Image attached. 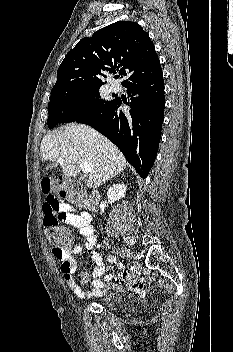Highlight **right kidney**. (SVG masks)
I'll return each mask as SVG.
<instances>
[{
  "label": "right kidney",
  "mask_w": 233,
  "mask_h": 352,
  "mask_svg": "<svg viewBox=\"0 0 233 352\" xmlns=\"http://www.w3.org/2000/svg\"><path fill=\"white\" fill-rule=\"evenodd\" d=\"M126 186L124 184H115L110 187L107 191V197L109 202L112 204L115 201L125 197Z\"/></svg>",
  "instance_id": "1"
}]
</instances>
